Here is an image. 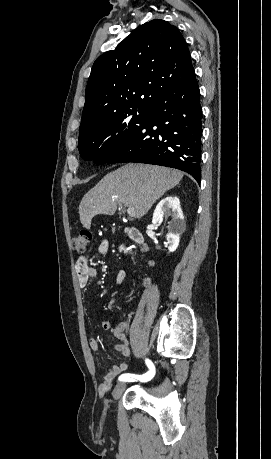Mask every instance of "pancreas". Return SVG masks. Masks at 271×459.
<instances>
[{"label": "pancreas", "instance_id": "obj_1", "mask_svg": "<svg viewBox=\"0 0 271 459\" xmlns=\"http://www.w3.org/2000/svg\"><path fill=\"white\" fill-rule=\"evenodd\" d=\"M119 249L122 251V249H124V245H120ZM124 251H126V249H124Z\"/></svg>", "mask_w": 271, "mask_h": 459}]
</instances>
